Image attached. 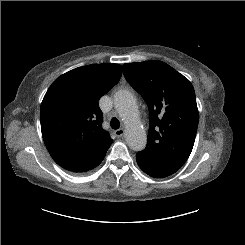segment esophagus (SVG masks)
Segmentation results:
<instances>
[{"mask_svg":"<svg viewBox=\"0 0 245 245\" xmlns=\"http://www.w3.org/2000/svg\"><path fill=\"white\" fill-rule=\"evenodd\" d=\"M124 134H125V131L122 128L115 131V135L117 137H122Z\"/></svg>","mask_w":245,"mask_h":245,"instance_id":"34e87169","label":"esophagus"}]
</instances>
